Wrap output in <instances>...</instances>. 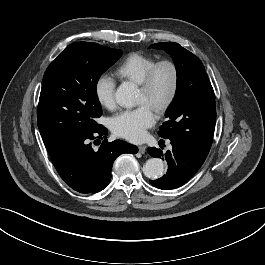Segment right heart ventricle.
<instances>
[{"instance_id": "right-heart-ventricle-1", "label": "right heart ventricle", "mask_w": 265, "mask_h": 265, "mask_svg": "<svg viewBox=\"0 0 265 265\" xmlns=\"http://www.w3.org/2000/svg\"><path fill=\"white\" fill-rule=\"evenodd\" d=\"M156 62L150 55L133 52L128 54L117 66L115 74L118 78L140 84L148 69Z\"/></svg>"}]
</instances>
